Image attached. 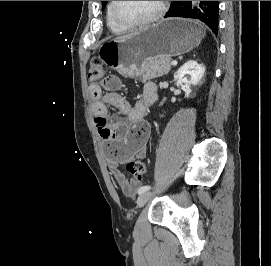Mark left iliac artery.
Here are the masks:
<instances>
[{"label": "left iliac artery", "instance_id": "44dca946", "mask_svg": "<svg viewBox=\"0 0 271 266\" xmlns=\"http://www.w3.org/2000/svg\"><path fill=\"white\" fill-rule=\"evenodd\" d=\"M150 189H151V186H148V185L142 186V187L139 188L138 194L145 193V192L149 191Z\"/></svg>", "mask_w": 271, "mask_h": 266}]
</instances>
